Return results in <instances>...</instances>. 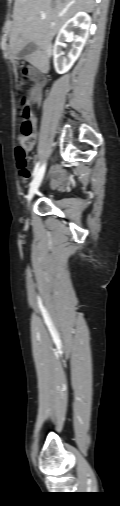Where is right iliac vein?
Segmentation results:
<instances>
[{"instance_id":"63e3f726","label":"right iliac vein","mask_w":120,"mask_h":506,"mask_svg":"<svg viewBox=\"0 0 120 506\" xmlns=\"http://www.w3.org/2000/svg\"><path fill=\"white\" fill-rule=\"evenodd\" d=\"M43 176H44V173H43ZM43 176H41V177L40 176H36L33 179V181L31 182V185H30V188H29V192H28V196H27L28 207L30 205V202H31L33 196L35 195L36 191L38 190V187L40 186V184L42 182Z\"/></svg>"}]
</instances>
